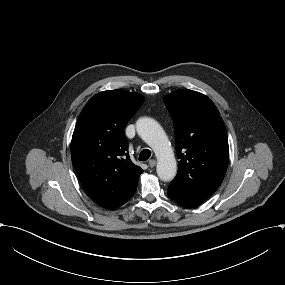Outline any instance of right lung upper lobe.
<instances>
[{
  "mask_svg": "<svg viewBox=\"0 0 285 285\" xmlns=\"http://www.w3.org/2000/svg\"><path fill=\"white\" fill-rule=\"evenodd\" d=\"M144 101L138 93L104 91L92 97L79 115L71 141V158L88 195L115 209L135 193L143 170L128 155L124 128Z\"/></svg>",
  "mask_w": 285,
  "mask_h": 285,
  "instance_id": "1",
  "label": "right lung upper lobe"
}]
</instances>
